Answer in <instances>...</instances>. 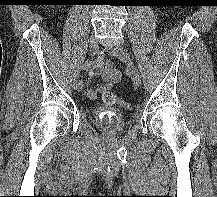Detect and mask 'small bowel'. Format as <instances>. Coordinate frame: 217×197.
Segmentation results:
<instances>
[{"mask_svg":"<svg viewBox=\"0 0 217 197\" xmlns=\"http://www.w3.org/2000/svg\"><path fill=\"white\" fill-rule=\"evenodd\" d=\"M98 74L102 78V83L95 87H91L87 95L91 99H95L99 94L111 89L114 84L121 80V74L116 66L109 60L104 61L102 58L97 60Z\"/></svg>","mask_w":217,"mask_h":197,"instance_id":"1","label":"small bowel"}]
</instances>
